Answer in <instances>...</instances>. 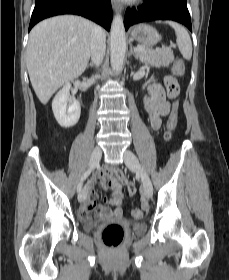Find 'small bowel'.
I'll list each match as a JSON object with an SVG mask.
<instances>
[{"label": "small bowel", "instance_id": "1", "mask_svg": "<svg viewBox=\"0 0 229 280\" xmlns=\"http://www.w3.org/2000/svg\"><path fill=\"white\" fill-rule=\"evenodd\" d=\"M178 62L174 64L173 71L177 75H182L175 71V67ZM183 70L184 65L182 64ZM170 95L165 89L156 82H151L148 86V95L145 96L143 103L145 111L149 117V126L152 130H158L162 124V117L169 115L170 103L168 101ZM113 175L111 172L101 171L96 179H105L107 176ZM128 193L133 195L135 193V186L132 183H128ZM121 183H112L110 185L111 196L107 198L106 202L114 206L113 209L98 206L95 201L96 194L93 192L91 186L87 185L85 188L84 199L82 205L77 211V216L82 220H87L91 217V213L97 211L102 218H121L123 216V210L121 208L122 194Z\"/></svg>", "mask_w": 229, "mask_h": 280}]
</instances>
